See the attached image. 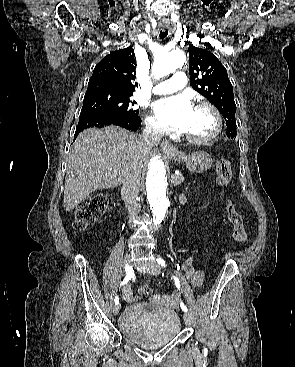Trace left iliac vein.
I'll list each match as a JSON object with an SVG mask.
<instances>
[{"label": "left iliac vein", "mask_w": 295, "mask_h": 367, "mask_svg": "<svg viewBox=\"0 0 295 367\" xmlns=\"http://www.w3.org/2000/svg\"><path fill=\"white\" fill-rule=\"evenodd\" d=\"M149 272L152 275H158L161 272V268H160V266L157 263H152L151 264V267L149 269ZM183 318H184L185 324L187 326H191L192 325V317H191V315L188 312H184ZM195 350H197L196 347H195Z\"/></svg>", "instance_id": "left-iliac-vein-1"}]
</instances>
